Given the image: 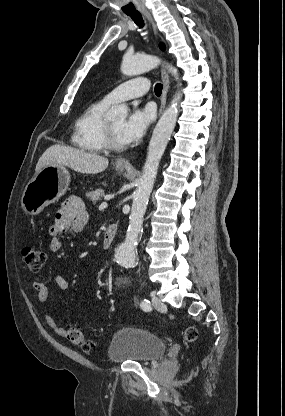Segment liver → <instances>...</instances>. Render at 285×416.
I'll return each mask as SVG.
<instances>
[{
	"instance_id": "liver-1",
	"label": "liver",
	"mask_w": 285,
	"mask_h": 416,
	"mask_svg": "<svg viewBox=\"0 0 285 416\" xmlns=\"http://www.w3.org/2000/svg\"><path fill=\"white\" fill-rule=\"evenodd\" d=\"M108 158L89 154L85 150L68 148V146H50L37 162L36 174L45 166H68L80 174H99L108 168Z\"/></svg>"
}]
</instances>
